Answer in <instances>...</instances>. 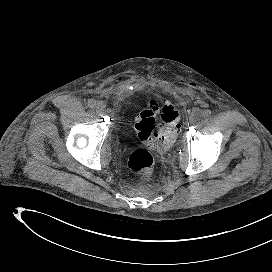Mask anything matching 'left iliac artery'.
I'll list each match as a JSON object with an SVG mask.
<instances>
[{
    "label": "left iliac artery",
    "mask_w": 272,
    "mask_h": 272,
    "mask_svg": "<svg viewBox=\"0 0 272 272\" xmlns=\"http://www.w3.org/2000/svg\"><path fill=\"white\" fill-rule=\"evenodd\" d=\"M210 115H211V110H210V109H205V110L202 111V116H203L204 118H207V117H209Z\"/></svg>",
    "instance_id": "1"
}]
</instances>
